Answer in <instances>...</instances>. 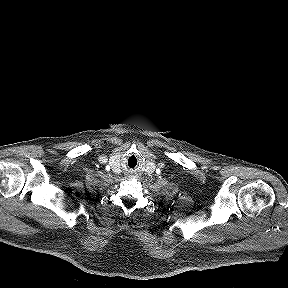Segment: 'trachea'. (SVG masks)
<instances>
[{
    "instance_id": "trachea-1",
    "label": "trachea",
    "mask_w": 288,
    "mask_h": 288,
    "mask_svg": "<svg viewBox=\"0 0 288 288\" xmlns=\"http://www.w3.org/2000/svg\"><path fill=\"white\" fill-rule=\"evenodd\" d=\"M126 164L128 165V167L130 168H134L139 164V157L137 154L135 153H130L127 156V160H126Z\"/></svg>"
}]
</instances>
